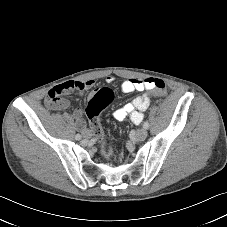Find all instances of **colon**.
<instances>
[{"instance_id":"5ec220e1","label":"colon","mask_w":227,"mask_h":227,"mask_svg":"<svg viewBox=\"0 0 227 227\" xmlns=\"http://www.w3.org/2000/svg\"><path fill=\"white\" fill-rule=\"evenodd\" d=\"M75 87H80L79 84H75ZM152 93L153 94H165L166 85L160 79H153L152 81ZM58 94L56 92L50 93V97L55 100ZM114 94L109 88H102L96 92L88 102L87 115L90 121V127L94 136L102 143L103 155L107 158L112 157L113 153L110 147L104 140V133L99 122L100 113L113 101Z\"/></svg>"}]
</instances>
